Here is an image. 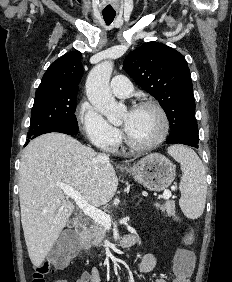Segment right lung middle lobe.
<instances>
[{
	"label": "right lung middle lobe",
	"instance_id": "1",
	"mask_svg": "<svg viewBox=\"0 0 232 282\" xmlns=\"http://www.w3.org/2000/svg\"><path fill=\"white\" fill-rule=\"evenodd\" d=\"M76 95L35 93L28 138L39 135L55 126H63L78 131L75 116Z\"/></svg>",
	"mask_w": 232,
	"mask_h": 282
}]
</instances>
